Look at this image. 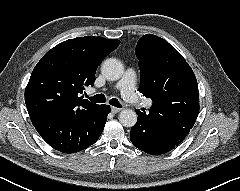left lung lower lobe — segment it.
<instances>
[{
    "label": "left lung lower lobe",
    "mask_w": 240,
    "mask_h": 191,
    "mask_svg": "<svg viewBox=\"0 0 240 191\" xmlns=\"http://www.w3.org/2000/svg\"><path fill=\"white\" fill-rule=\"evenodd\" d=\"M137 114L138 122L131 129L130 140L138 149L153 155L164 154L179 145L196 120L194 117L178 121L156 119L150 112L140 110Z\"/></svg>",
    "instance_id": "obj_1"
}]
</instances>
